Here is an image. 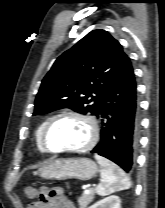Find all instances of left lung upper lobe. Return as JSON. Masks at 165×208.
Masks as SVG:
<instances>
[{
  "instance_id": "obj_1",
  "label": "left lung upper lobe",
  "mask_w": 165,
  "mask_h": 208,
  "mask_svg": "<svg viewBox=\"0 0 165 208\" xmlns=\"http://www.w3.org/2000/svg\"><path fill=\"white\" fill-rule=\"evenodd\" d=\"M127 58L107 31H91L57 58L42 80L33 115L61 108L97 115L106 88Z\"/></svg>"
}]
</instances>
